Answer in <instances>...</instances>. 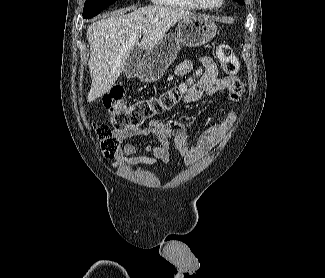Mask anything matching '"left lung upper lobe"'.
<instances>
[{"mask_svg":"<svg viewBox=\"0 0 325 278\" xmlns=\"http://www.w3.org/2000/svg\"><path fill=\"white\" fill-rule=\"evenodd\" d=\"M236 2H238L239 4L243 5L244 4V0H235Z\"/></svg>","mask_w":325,"mask_h":278,"instance_id":"left-lung-upper-lobe-1","label":"left lung upper lobe"}]
</instances>
